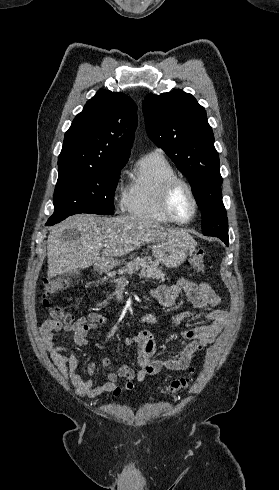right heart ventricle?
<instances>
[{"instance_id":"right-heart-ventricle-1","label":"right heart ventricle","mask_w":279,"mask_h":490,"mask_svg":"<svg viewBox=\"0 0 279 490\" xmlns=\"http://www.w3.org/2000/svg\"><path fill=\"white\" fill-rule=\"evenodd\" d=\"M175 176L176 171L163 154L152 152L141 158L124 199L127 213L151 223L174 224L163 210L162 195L168 180Z\"/></svg>"}]
</instances>
